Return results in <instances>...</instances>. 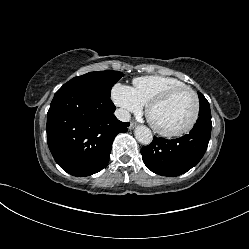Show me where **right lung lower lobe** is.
<instances>
[{"instance_id":"obj_1","label":"right lung lower lobe","mask_w":249,"mask_h":249,"mask_svg":"<svg viewBox=\"0 0 249 249\" xmlns=\"http://www.w3.org/2000/svg\"><path fill=\"white\" fill-rule=\"evenodd\" d=\"M110 97L96 89L64 84L47 113V143L56 163L74 176H89L108 163L112 142L129 123L113 114Z\"/></svg>"}]
</instances>
